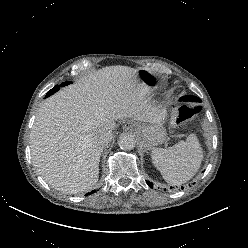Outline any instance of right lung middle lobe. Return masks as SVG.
Instances as JSON below:
<instances>
[{
  "label": "right lung middle lobe",
  "mask_w": 248,
  "mask_h": 248,
  "mask_svg": "<svg viewBox=\"0 0 248 248\" xmlns=\"http://www.w3.org/2000/svg\"><path fill=\"white\" fill-rule=\"evenodd\" d=\"M68 84H69V82H65V83H62L61 85H56L53 89H51V90L47 93L46 97H47V96H50V95H52L53 93H55L56 91H58L59 88H60V86H65V85H68Z\"/></svg>",
  "instance_id": "right-lung-middle-lobe-1"
}]
</instances>
